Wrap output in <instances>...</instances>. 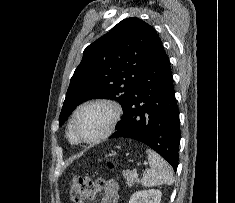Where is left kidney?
Returning a JSON list of instances; mask_svg holds the SVG:
<instances>
[{"label": "left kidney", "mask_w": 235, "mask_h": 203, "mask_svg": "<svg viewBox=\"0 0 235 203\" xmlns=\"http://www.w3.org/2000/svg\"><path fill=\"white\" fill-rule=\"evenodd\" d=\"M162 193L160 190L150 189L135 192L129 203H160Z\"/></svg>", "instance_id": "left-kidney-1"}]
</instances>
